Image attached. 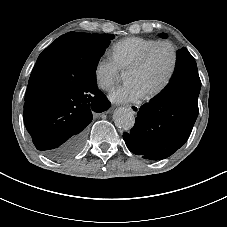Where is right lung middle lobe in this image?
<instances>
[{"label": "right lung middle lobe", "instance_id": "obj_1", "mask_svg": "<svg viewBox=\"0 0 227 227\" xmlns=\"http://www.w3.org/2000/svg\"><path fill=\"white\" fill-rule=\"evenodd\" d=\"M114 37L68 32L39 55L31 76L40 79L45 86L51 84L66 90L97 85L98 61Z\"/></svg>", "mask_w": 227, "mask_h": 227}]
</instances>
